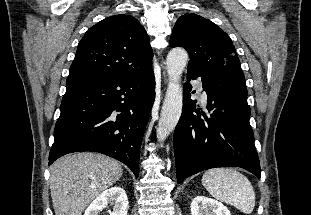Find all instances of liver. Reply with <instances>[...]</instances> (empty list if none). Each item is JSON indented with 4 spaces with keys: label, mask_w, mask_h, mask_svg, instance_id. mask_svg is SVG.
<instances>
[{
    "label": "liver",
    "mask_w": 311,
    "mask_h": 215,
    "mask_svg": "<svg viewBox=\"0 0 311 215\" xmlns=\"http://www.w3.org/2000/svg\"><path fill=\"white\" fill-rule=\"evenodd\" d=\"M121 165L102 154L81 152L56 160L50 167L55 215H82L84 209L122 176Z\"/></svg>",
    "instance_id": "1"
}]
</instances>
